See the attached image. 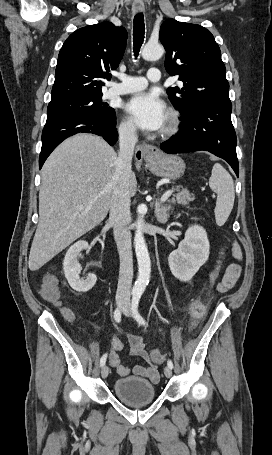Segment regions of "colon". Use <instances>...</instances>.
<instances>
[{
  "label": "colon",
  "mask_w": 272,
  "mask_h": 455,
  "mask_svg": "<svg viewBox=\"0 0 272 455\" xmlns=\"http://www.w3.org/2000/svg\"><path fill=\"white\" fill-rule=\"evenodd\" d=\"M224 259H225V251L222 249L219 253L218 260L212 269V271L209 274V284H208V290L211 289V287L214 285V283L217 281L219 278V275L221 273V270L223 268L224 264ZM42 296L45 300L55 303L59 299V290L57 287L56 280L53 276H46L44 279L43 287H42ZM206 313V303L202 300H197L194 303H192L190 307V316H191V325L189 330L192 331L194 330L199 322L203 319ZM150 358L154 363H162L165 360V354L160 351V350H152L150 352Z\"/></svg>",
  "instance_id": "colon-1"
}]
</instances>
